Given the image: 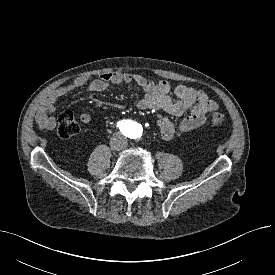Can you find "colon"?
<instances>
[{
    "mask_svg": "<svg viewBox=\"0 0 275 275\" xmlns=\"http://www.w3.org/2000/svg\"><path fill=\"white\" fill-rule=\"evenodd\" d=\"M209 122L212 125H222L226 122L223 112L216 110L209 114ZM79 132V125L69 112L62 113L58 118L57 133L61 138L68 139Z\"/></svg>",
    "mask_w": 275,
    "mask_h": 275,
    "instance_id": "obj_1",
    "label": "colon"
}]
</instances>
